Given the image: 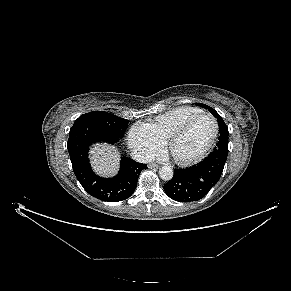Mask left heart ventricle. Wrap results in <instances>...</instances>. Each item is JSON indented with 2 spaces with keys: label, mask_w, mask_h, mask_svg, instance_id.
<instances>
[{
  "label": "left heart ventricle",
  "mask_w": 291,
  "mask_h": 291,
  "mask_svg": "<svg viewBox=\"0 0 291 291\" xmlns=\"http://www.w3.org/2000/svg\"><path fill=\"white\" fill-rule=\"evenodd\" d=\"M214 132L213 121L208 117L196 120L171 146L170 153L179 159L198 155L210 142Z\"/></svg>",
  "instance_id": "left-heart-ventricle-1"
}]
</instances>
